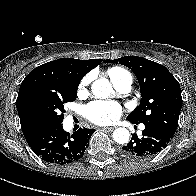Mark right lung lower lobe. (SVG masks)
Wrapping results in <instances>:
<instances>
[{
	"label": "right lung lower lobe",
	"mask_w": 196,
	"mask_h": 196,
	"mask_svg": "<svg viewBox=\"0 0 196 196\" xmlns=\"http://www.w3.org/2000/svg\"><path fill=\"white\" fill-rule=\"evenodd\" d=\"M94 129L80 128L72 135L62 124L41 129L27 141L34 153L53 164H69L80 159L89 145Z\"/></svg>",
	"instance_id": "1"
}]
</instances>
